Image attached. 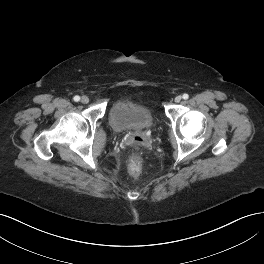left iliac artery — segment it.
Listing matches in <instances>:
<instances>
[{
  "instance_id": "obj_1",
  "label": "left iliac artery",
  "mask_w": 264,
  "mask_h": 264,
  "mask_svg": "<svg viewBox=\"0 0 264 264\" xmlns=\"http://www.w3.org/2000/svg\"><path fill=\"white\" fill-rule=\"evenodd\" d=\"M182 97H183V99H185V100H186V99H188V98H189V95L185 93V94H183V96H182Z\"/></svg>"
}]
</instances>
